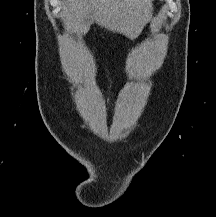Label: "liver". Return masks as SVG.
<instances>
[{"label":"liver","mask_w":216,"mask_h":217,"mask_svg":"<svg viewBox=\"0 0 216 217\" xmlns=\"http://www.w3.org/2000/svg\"><path fill=\"white\" fill-rule=\"evenodd\" d=\"M152 0H66L61 16L65 29L85 35L94 21L101 27L134 38L144 27Z\"/></svg>","instance_id":"liver-1"}]
</instances>
